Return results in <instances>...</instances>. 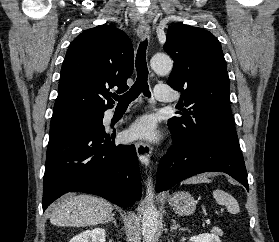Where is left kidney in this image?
Returning a JSON list of instances; mask_svg holds the SVG:
<instances>
[{
	"instance_id": "left-kidney-1",
	"label": "left kidney",
	"mask_w": 279,
	"mask_h": 242,
	"mask_svg": "<svg viewBox=\"0 0 279 242\" xmlns=\"http://www.w3.org/2000/svg\"><path fill=\"white\" fill-rule=\"evenodd\" d=\"M191 242H221L219 237L213 233H204L190 238Z\"/></svg>"
}]
</instances>
